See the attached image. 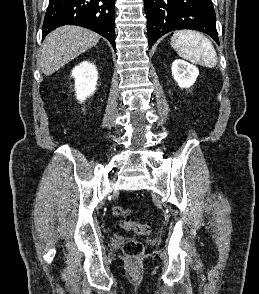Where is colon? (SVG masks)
<instances>
[{"label": "colon", "instance_id": "obj_1", "mask_svg": "<svg viewBox=\"0 0 259 294\" xmlns=\"http://www.w3.org/2000/svg\"><path fill=\"white\" fill-rule=\"evenodd\" d=\"M130 213V210L121 206H114L112 208V214L114 216H126ZM119 226L125 230L132 231L142 235H149L153 232V227L148 223H140L134 220L120 221ZM123 253L129 258H138L144 252V245L141 241L136 239H130L123 244Z\"/></svg>", "mask_w": 259, "mask_h": 294}]
</instances>
